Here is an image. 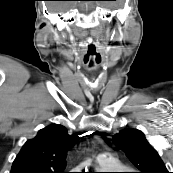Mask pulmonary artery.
<instances>
[{
  "instance_id": "pulmonary-artery-1",
  "label": "pulmonary artery",
  "mask_w": 173,
  "mask_h": 173,
  "mask_svg": "<svg viewBox=\"0 0 173 173\" xmlns=\"http://www.w3.org/2000/svg\"><path fill=\"white\" fill-rule=\"evenodd\" d=\"M106 157H107L106 155L100 154L98 155L97 160L101 161V160H104Z\"/></svg>"
}]
</instances>
